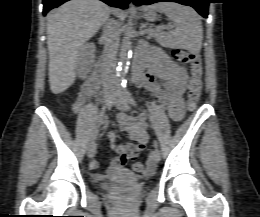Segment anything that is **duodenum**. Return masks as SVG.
Instances as JSON below:
<instances>
[{"label":"duodenum","mask_w":260,"mask_h":217,"mask_svg":"<svg viewBox=\"0 0 260 217\" xmlns=\"http://www.w3.org/2000/svg\"><path fill=\"white\" fill-rule=\"evenodd\" d=\"M143 69L141 67H138L137 65L134 68L133 73V81L136 82L140 80L143 76ZM97 75H99V70L95 71L93 76H91L82 87V92L85 94H91L94 93L97 89Z\"/></svg>","instance_id":"410a0bca"}]
</instances>
